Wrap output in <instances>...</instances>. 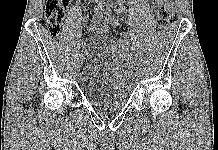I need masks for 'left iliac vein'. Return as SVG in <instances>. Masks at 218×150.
<instances>
[{
    "instance_id": "1",
    "label": "left iliac vein",
    "mask_w": 218,
    "mask_h": 150,
    "mask_svg": "<svg viewBox=\"0 0 218 150\" xmlns=\"http://www.w3.org/2000/svg\"><path fill=\"white\" fill-rule=\"evenodd\" d=\"M130 75H131V76H134V75H135V72H134V71H131V72H130Z\"/></svg>"
}]
</instances>
